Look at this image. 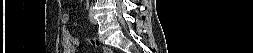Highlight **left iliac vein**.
I'll return each instance as SVG.
<instances>
[{
	"instance_id": "1",
	"label": "left iliac vein",
	"mask_w": 253,
	"mask_h": 53,
	"mask_svg": "<svg viewBox=\"0 0 253 53\" xmlns=\"http://www.w3.org/2000/svg\"><path fill=\"white\" fill-rule=\"evenodd\" d=\"M89 19L91 21V23L96 24L97 20L94 18V11L92 8H90L89 10Z\"/></svg>"
}]
</instances>
